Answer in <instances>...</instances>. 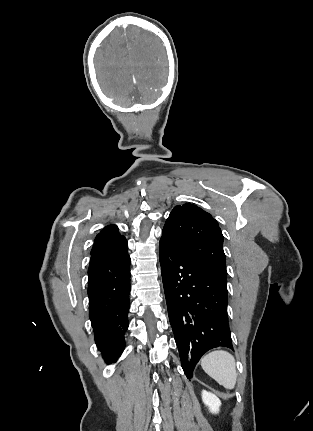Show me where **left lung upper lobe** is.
<instances>
[{
	"mask_svg": "<svg viewBox=\"0 0 313 431\" xmlns=\"http://www.w3.org/2000/svg\"><path fill=\"white\" fill-rule=\"evenodd\" d=\"M161 238L185 257L227 279L221 229L203 209L193 204L175 206L166 220Z\"/></svg>",
	"mask_w": 313,
	"mask_h": 431,
	"instance_id": "1",
	"label": "left lung upper lobe"
}]
</instances>
